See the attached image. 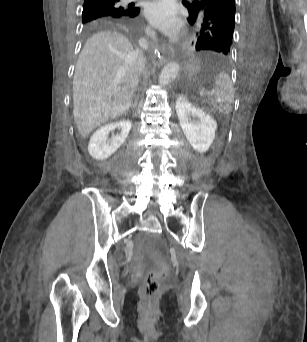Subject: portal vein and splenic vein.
Masks as SVG:
<instances>
[{"instance_id": "18ae733b", "label": "portal vein and splenic vein", "mask_w": 307, "mask_h": 342, "mask_svg": "<svg viewBox=\"0 0 307 342\" xmlns=\"http://www.w3.org/2000/svg\"><path fill=\"white\" fill-rule=\"evenodd\" d=\"M201 92H200V95L201 96H205L206 95V90L204 89V88H202L201 90H200Z\"/></svg>"}]
</instances>
